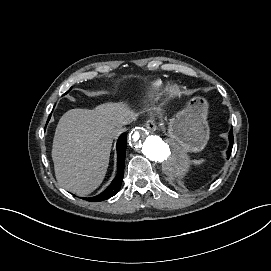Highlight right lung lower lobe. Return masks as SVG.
Returning a JSON list of instances; mask_svg holds the SVG:
<instances>
[{
  "mask_svg": "<svg viewBox=\"0 0 271 271\" xmlns=\"http://www.w3.org/2000/svg\"><path fill=\"white\" fill-rule=\"evenodd\" d=\"M51 116V115H50ZM50 116L48 118V121L50 119ZM47 121V123H48ZM126 144H127V134L123 133L119 137L117 141V174L112 183L109 185V187L104 190L101 194L85 198L87 201L97 202V201H104L109 199L110 197L114 196L121 187L123 176H124V162H125V154H126Z\"/></svg>",
  "mask_w": 271,
  "mask_h": 271,
  "instance_id": "1",
  "label": "right lung lower lobe"
}]
</instances>
